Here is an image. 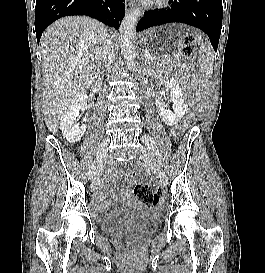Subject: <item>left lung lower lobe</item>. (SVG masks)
Here are the masks:
<instances>
[{
	"label": "left lung lower lobe",
	"mask_w": 265,
	"mask_h": 273,
	"mask_svg": "<svg viewBox=\"0 0 265 273\" xmlns=\"http://www.w3.org/2000/svg\"><path fill=\"white\" fill-rule=\"evenodd\" d=\"M222 13V0H173L168 9L145 12L136 31L171 22L185 23L204 31L217 51Z\"/></svg>",
	"instance_id": "1"
}]
</instances>
